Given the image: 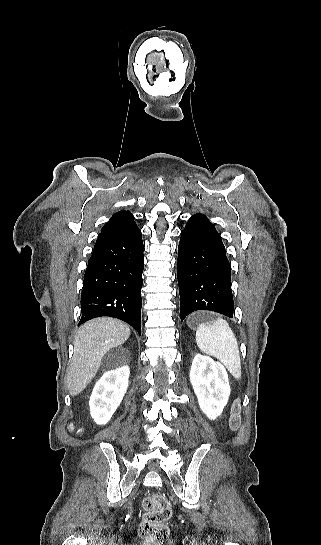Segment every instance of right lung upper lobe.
Segmentation results:
<instances>
[{
  "mask_svg": "<svg viewBox=\"0 0 321 545\" xmlns=\"http://www.w3.org/2000/svg\"><path fill=\"white\" fill-rule=\"evenodd\" d=\"M134 216L130 211H119L115 213L110 220L102 227L101 233L98 235V238L125 230L129 227L134 226Z\"/></svg>",
  "mask_w": 321,
  "mask_h": 545,
  "instance_id": "1",
  "label": "right lung upper lobe"
}]
</instances>
